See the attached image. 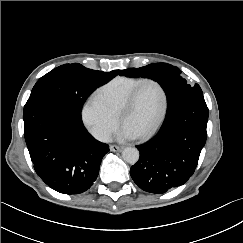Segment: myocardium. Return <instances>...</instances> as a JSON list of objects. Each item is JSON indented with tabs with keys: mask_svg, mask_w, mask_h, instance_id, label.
<instances>
[{
	"mask_svg": "<svg viewBox=\"0 0 243 243\" xmlns=\"http://www.w3.org/2000/svg\"><path fill=\"white\" fill-rule=\"evenodd\" d=\"M148 82L155 83L159 87V89L161 90L162 104H161L160 111H159L156 119L152 123V125L147 130H145L144 132L138 134V137H140V138H146L149 135H151L157 129V127L159 126L160 122L162 121V119L165 115V112H166V109H167L168 97H167L166 89H165L164 85L161 83V81H159L158 79H155V78H144L142 81H140L133 88V90L130 92V94L126 98L125 102L123 103V105L121 106L120 111H119V120L122 123L125 114L133 107L139 89L145 83H148Z\"/></svg>",
	"mask_w": 243,
	"mask_h": 243,
	"instance_id": "f54148a6",
	"label": "myocardium"
}]
</instances>
